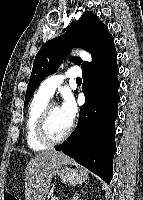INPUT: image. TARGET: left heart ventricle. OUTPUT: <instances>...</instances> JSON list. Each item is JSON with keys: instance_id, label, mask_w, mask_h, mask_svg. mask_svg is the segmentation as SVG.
Masks as SVG:
<instances>
[{"instance_id": "obj_1", "label": "left heart ventricle", "mask_w": 143, "mask_h": 200, "mask_svg": "<svg viewBox=\"0 0 143 200\" xmlns=\"http://www.w3.org/2000/svg\"><path fill=\"white\" fill-rule=\"evenodd\" d=\"M70 124L62 115L59 107H53L48 121V131L53 138L61 137Z\"/></svg>"}]
</instances>
